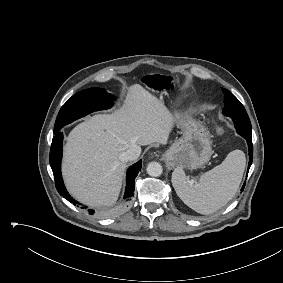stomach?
I'll return each mask as SVG.
<instances>
[{"label": "stomach", "instance_id": "stomach-1", "mask_svg": "<svg viewBox=\"0 0 283 283\" xmlns=\"http://www.w3.org/2000/svg\"><path fill=\"white\" fill-rule=\"evenodd\" d=\"M171 113L175 117V124L182 129V136L164 153L163 159L181 168L202 167L212 155L208 132L200 122L181 110L174 109Z\"/></svg>", "mask_w": 283, "mask_h": 283}]
</instances>
